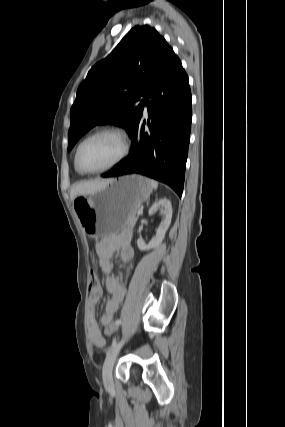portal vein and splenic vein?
<instances>
[{"mask_svg":"<svg viewBox=\"0 0 285 427\" xmlns=\"http://www.w3.org/2000/svg\"><path fill=\"white\" fill-rule=\"evenodd\" d=\"M138 215H141L142 213H143V211L142 210H138Z\"/></svg>","mask_w":285,"mask_h":427,"instance_id":"18ae733b","label":"portal vein and splenic vein"}]
</instances>
